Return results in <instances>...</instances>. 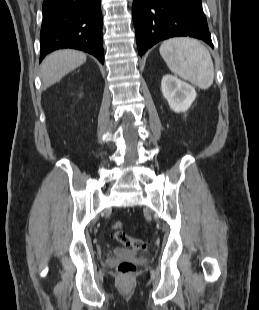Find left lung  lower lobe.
<instances>
[{
	"mask_svg": "<svg viewBox=\"0 0 259 310\" xmlns=\"http://www.w3.org/2000/svg\"><path fill=\"white\" fill-rule=\"evenodd\" d=\"M132 15L140 56L176 36L198 38L213 47L201 0H134Z\"/></svg>",
	"mask_w": 259,
	"mask_h": 310,
	"instance_id": "0a47b994",
	"label": "left lung lower lobe"
}]
</instances>
